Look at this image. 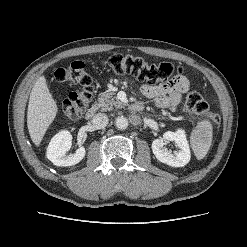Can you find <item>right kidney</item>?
Returning a JSON list of instances; mask_svg holds the SVG:
<instances>
[{
    "instance_id": "ca27d5eb",
    "label": "right kidney",
    "mask_w": 247,
    "mask_h": 247,
    "mask_svg": "<svg viewBox=\"0 0 247 247\" xmlns=\"http://www.w3.org/2000/svg\"><path fill=\"white\" fill-rule=\"evenodd\" d=\"M72 145V135L63 130L57 133L50 141L46 156L56 166H72L85 157V148L82 146L73 155H66Z\"/></svg>"
}]
</instances>
